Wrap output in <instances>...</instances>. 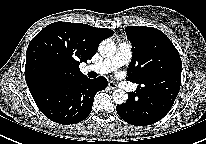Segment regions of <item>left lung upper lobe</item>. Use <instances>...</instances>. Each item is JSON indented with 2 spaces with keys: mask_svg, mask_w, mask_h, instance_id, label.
<instances>
[{
  "mask_svg": "<svg viewBox=\"0 0 206 144\" xmlns=\"http://www.w3.org/2000/svg\"><path fill=\"white\" fill-rule=\"evenodd\" d=\"M125 30L133 51L126 79L146 89L172 86L180 90L182 62L170 39L153 27L128 26Z\"/></svg>",
  "mask_w": 206,
  "mask_h": 144,
  "instance_id": "1",
  "label": "left lung upper lobe"
}]
</instances>
